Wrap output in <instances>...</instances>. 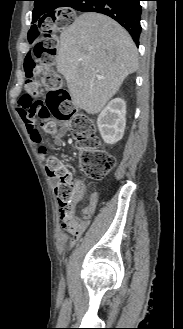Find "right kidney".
Returning a JSON list of instances; mask_svg holds the SVG:
<instances>
[{"label": "right kidney", "mask_w": 183, "mask_h": 329, "mask_svg": "<svg viewBox=\"0 0 183 329\" xmlns=\"http://www.w3.org/2000/svg\"><path fill=\"white\" fill-rule=\"evenodd\" d=\"M126 104L120 98L111 100L97 118V126L102 139L107 144H115L122 139L126 126Z\"/></svg>", "instance_id": "ca27d5eb"}]
</instances>
